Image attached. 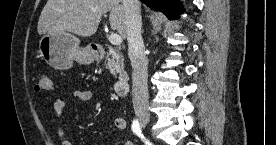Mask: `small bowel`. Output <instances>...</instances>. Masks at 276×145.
I'll return each instance as SVG.
<instances>
[{"mask_svg":"<svg viewBox=\"0 0 276 145\" xmlns=\"http://www.w3.org/2000/svg\"><path fill=\"white\" fill-rule=\"evenodd\" d=\"M71 97L79 102H89L92 100V93L88 90L78 89V90H74L71 93ZM53 108H54V111H55L58 119L61 120L62 117L64 116L65 110H66V104H65L64 99H62V98L56 99L53 104ZM114 125L117 129L123 130L126 127V122L123 118L117 117L114 120ZM57 134H58L59 138L61 139L62 145H72L66 139V132L61 124H59L57 127ZM124 145H132V142L130 140H127L124 142Z\"/></svg>","mask_w":276,"mask_h":145,"instance_id":"obj_1","label":"small bowel"}]
</instances>
